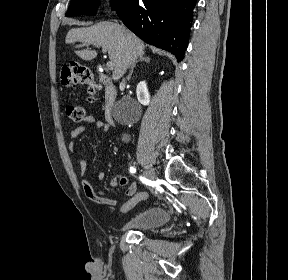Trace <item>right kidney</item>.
Instances as JSON below:
<instances>
[{
  "label": "right kidney",
  "mask_w": 288,
  "mask_h": 280,
  "mask_svg": "<svg viewBox=\"0 0 288 280\" xmlns=\"http://www.w3.org/2000/svg\"><path fill=\"white\" fill-rule=\"evenodd\" d=\"M137 99L142 105H149L150 103V95L147 89V85L145 81H141L137 85L136 89Z\"/></svg>",
  "instance_id": "1"
}]
</instances>
